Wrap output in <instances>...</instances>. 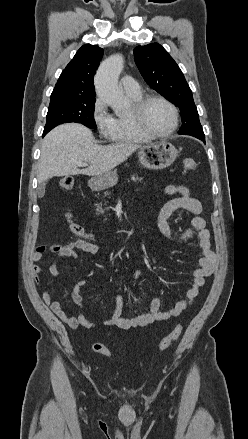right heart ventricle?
I'll return each mask as SVG.
<instances>
[{"mask_svg": "<svg viewBox=\"0 0 248 439\" xmlns=\"http://www.w3.org/2000/svg\"><path fill=\"white\" fill-rule=\"evenodd\" d=\"M133 102V107L142 98V93L127 94ZM111 138L117 143L142 144L151 141V137L143 133L133 118V108L127 114H120L115 118Z\"/></svg>", "mask_w": 248, "mask_h": 439, "instance_id": "obj_1", "label": "right heart ventricle"}]
</instances>
